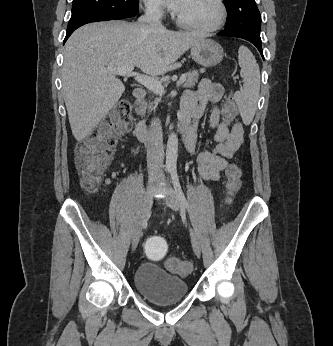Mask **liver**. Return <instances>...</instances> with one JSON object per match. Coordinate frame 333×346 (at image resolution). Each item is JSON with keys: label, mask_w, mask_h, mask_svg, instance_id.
<instances>
[{"label": "liver", "mask_w": 333, "mask_h": 346, "mask_svg": "<svg viewBox=\"0 0 333 346\" xmlns=\"http://www.w3.org/2000/svg\"><path fill=\"white\" fill-rule=\"evenodd\" d=\"M202 39L198 33L140 22L91 23L77 29L65 44L62 67V92L75 139L90 135L125 91L108 69L136 66L147 75H163Z\"/></svg>", "instance_id": "6515ba94"}]
</instances>
